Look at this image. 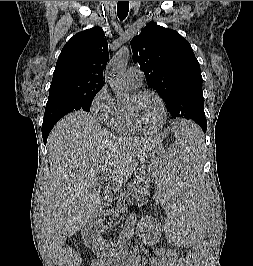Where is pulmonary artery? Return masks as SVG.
Here are the masks:
<instances>
[{
  "label": "pulmonary artery",
  "instance_id": "pulmonary-artery-1",
  "mask_svg": "<svg viewBox=\"0 0 253 266\" xmlns=\"http://www.w3.org/2000/svg\"><path fill=\"white\" fill-rule=\"evenodd\" d=\"M125 77L129 85L139 87L142 84L143 74L137 67L128 68Z\"/></svg>",
  "mask_w": 253,
  "mask_h": 266
}]
</instances>
